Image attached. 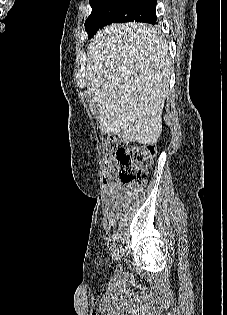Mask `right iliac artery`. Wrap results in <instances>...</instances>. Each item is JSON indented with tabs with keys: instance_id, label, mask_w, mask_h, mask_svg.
<instances>
[{
	"instance_id": "82829eb1",
	"label": "right iliac artery",
	"mask_w": 227,
	"mask_h": 315,
	"mask_svg": "<svg viewBox=\"0 0 227 315\" xmlns=\"http://www.w3.org/2000/svg\"><path fill=\"white\" fill-rule=\"evenodd\" d=\"M112 238H113L114 241H116V239H117V234H113Z\"/></svg>"
}]
</instances>
